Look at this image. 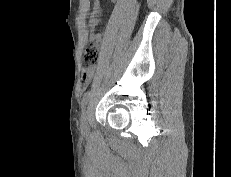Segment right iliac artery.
Here are the masks:
<instances>
[{
    "label": "right iliac artery",
    "instance_id": "82829eb1",
    "mask_svg": "<svg viewBox=\"0 0 231 177\" xmlns=\"http://www.w3.org/2000/svg\"><path fill=\"white\" fill-rule=\"evenodd\" d=\"M89 97H90V92L89 91L86 92L83 95L82 102H81V108H82V110H84L86 104L88 103Z\"/></svg>",
    "mask_w": 231,
    "mask_h": 177
}]
</instances>
